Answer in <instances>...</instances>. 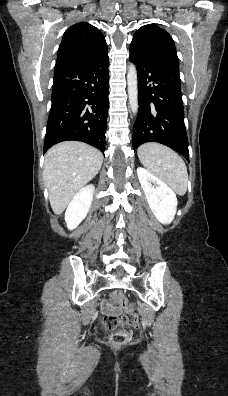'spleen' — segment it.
Returning <instances> with one entry per match:
<instances>
[{
	"instance_id": "obj_1",
	"label": "spleen",
	"mask_w": 228,
	"mask_h": 396,
	"mask_svg": "<svg viewBox=\"0 0 228 396\" xmlns=\"http://www.w3.org/2000/svg\"><path fill=\"white\" fill-rule=\"evenodd\" d=\"M137 153L148 171L167 183L178 195L186 193L187 167L175 151L162 144L149 142L141 145Z\"/></svg>"
}]
</instances>
